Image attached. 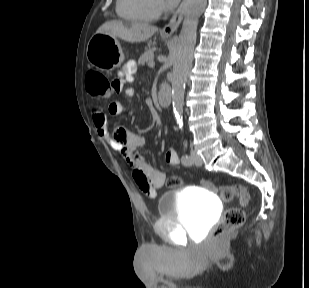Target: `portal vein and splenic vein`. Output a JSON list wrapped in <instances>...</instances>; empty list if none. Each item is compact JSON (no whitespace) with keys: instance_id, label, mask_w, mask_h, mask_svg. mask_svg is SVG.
<instances>
[{"instance_id":"portal-vein-and-splenic-vein-1","label":"portal vein and splenic vein","mask_w":309,"mask_h":288,"mask_svg":"<svg viewBox=\"0 0 309 288\" xmlns=\"http://www.w3.org/2000/svg\"><path fill=\"white\" fill-rule=\"evenodd\" d=\"M150 67H154L155 66V63L153 61H151L149 64H148Z\"/></svg>"}]
</instances>
